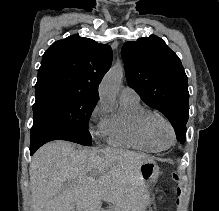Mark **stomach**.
I'll list each match as a JSON object with an SVG mask.
<instances>
[{
    "mask_svg": "<svg viewBox=\"0 0 219 211\" xmlns=\"http://www.w3.org/2000/svg\"><path fill=\"white\" fill-rule=\"evenodd\" d=\"M159 174V167L155 162H147L140 168L141 179L146 184L155 182V180L159 177Z\"/></svg>",
    "mask_w": 219,
    "mask_h": 211,
    "instance_id": "1",
    "label": "stomach"
}]
</instances>
